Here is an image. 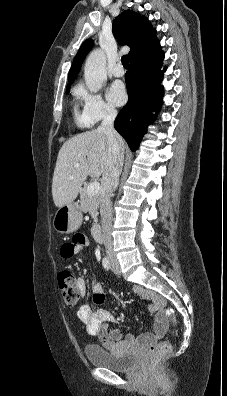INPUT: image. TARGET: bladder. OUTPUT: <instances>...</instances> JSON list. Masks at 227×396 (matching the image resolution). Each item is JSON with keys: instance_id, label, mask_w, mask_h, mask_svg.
Wrapping results in <instances>:
<instances>
[{"instance_id": "bladder-1", "label": "bladder", "mask_w": 227, "mask_h": 396, "mask_svg": "<svg viewBox=\"0 0 227 396\" xmlns=\"http://www.w3.org/2000/svg\"><path fill=\"white\" fill-rule=\"evenodd\" d=\"M85 355L91 365L115 372L130 371L138 362L134 354H120L97 345L86 346Z\"/></svg>"}]
</instances>
